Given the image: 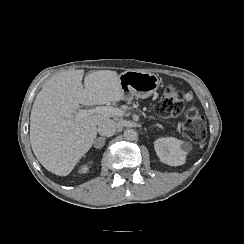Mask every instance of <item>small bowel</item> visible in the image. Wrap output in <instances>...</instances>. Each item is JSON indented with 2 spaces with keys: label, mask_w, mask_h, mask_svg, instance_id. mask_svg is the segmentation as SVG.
I'll return each instance as SVG.
<instances>
[{
  "label": "small bowel",
  "mask_w": 244,
  "mask_h": 244,
  "mask_svg": "<svg viewBox=\"0 0 244 244\" xmlns=\"http://www.w3.org/2000/svg\"><path fill=\"white\" fill-rule=\"evenodd\" d=\"M184 99H185L186 101H191V100L193 99V94H192L191 92H186V93L184 94Z\"/></svg>",
  "instance_id": "small-bowel-1"
}]
</instances>
